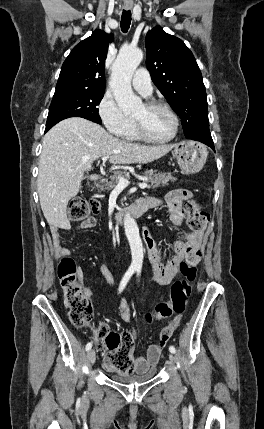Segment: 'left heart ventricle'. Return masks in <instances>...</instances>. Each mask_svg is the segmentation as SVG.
I'll return each mask as SVG.
<instances>
[{"instance_id": "b2bd125f", "label": "left heart ventricle", "mask_w": 264, "mask_h": 429, "mask_svg": "<svg viewBox=\"0 0 264 429\" xmlns=\"http://www.w3.org/2000/svg\"><path fill=\"white\" fill-rule=\"evenodd\" d=\"M144 126L147 134L155 139H165L174 130V122L171 116L164 110L147 109L142 105L133 115Z\"/></svg>"}]
</instances>
